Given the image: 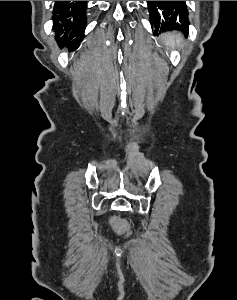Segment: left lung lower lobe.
<instances>
[{
    "mask_svg": "<svg viewBox=\"0 0 237 300\" xmlns=\"http://www.w3.org/2000/svg\"><path fill=\"white\" fill-rule=\"evenodd\" d=\"M148 5H153L155 4L156 1H147ZM184 33H187V29L183 31Z\"/></svg>",
    "mask_w": 237,
    "mask_h": 300,
    "instance_id": "left-lung-lower-lobe-1",
    "label": "left lung lower lobe"
}]
</instances>
